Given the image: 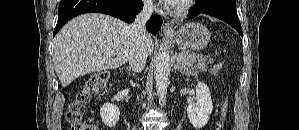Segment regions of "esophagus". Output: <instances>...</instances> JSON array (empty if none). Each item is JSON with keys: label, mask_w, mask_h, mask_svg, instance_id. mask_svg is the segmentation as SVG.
I'll return each mask as SVG.
<instances>
[{"label": "esophagus", "mask_w": 299, "mask_h": 130, "mask_svg": "<svg viewBox=\"0 0 299 130\" xmlns=\"http://www.w3.org/2000/svg\"><path fill=\"white\" fill-rule=\"evenodd\" d=\"M173 28H174V21L168 20L163 24L162 30L164 34H171L173 33Z\"/></svg>", "instance_id": "1"}]
</instances>
